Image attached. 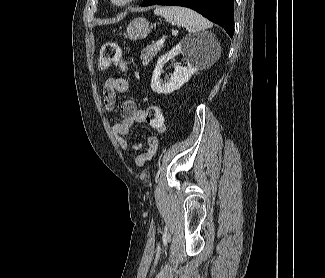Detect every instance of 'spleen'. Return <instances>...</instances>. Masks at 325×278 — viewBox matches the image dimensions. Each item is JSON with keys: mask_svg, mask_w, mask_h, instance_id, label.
Segmentation results:
<instances>
[{"mask_svg": "<svg viewBox=\"0 0 325 278\" xmlns=\"http://www.w3.org/2000/svg\"><path fill=\"white\" fill-rule=\"evenodd\" d=\"M154 14L164 17L172 25L185 27L189 33L201 32L212 26V23L200 14L184 7H156Z\"/></svg>", "mask_w": 325, "mask_h": 278, "instance_id": "obj_1", "label": "spleen"}]
</instances>
